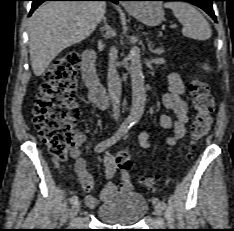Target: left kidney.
I'll return each instance as SVG.
<instances>
[{"label":"left kidney","instance_id":"obj_1","mask_svg":"<svg viewBox=\"0 0 234 231\" xmlns=\"http://www.w3.org/2000/svg\"><path fill=\"white\" fill-rule=\"evenodd\" d=\"M203 68H204L205 70H210V68H209L207 65H204Z\"/></svg>","mask_w":234,"mask_h":231}]
</instances>
